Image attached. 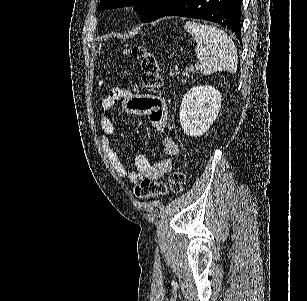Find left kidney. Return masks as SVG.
Wrapping results in <instances>:
<instances>
[{
    "label": "left kidney",
    "mask_w": 307,
    "mask_h": 301,
    "mask_svg": "<svg viewBox=\"0 0 307 301\" xmlns=\"http://www.w3.org/2000/svg\"><path fill=\"white\" fill-rule=\"evenodd\" d=\"M222 94L214 86H192L184 94L180 106V124L188 136L207 132L218 116Z\"/></svg>",
    "instance_id": "left-kidney-1"
}]
</instances>
